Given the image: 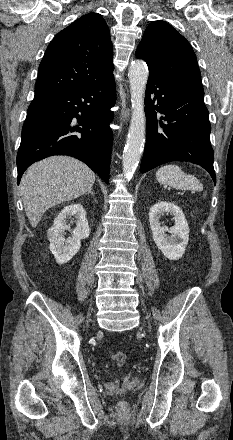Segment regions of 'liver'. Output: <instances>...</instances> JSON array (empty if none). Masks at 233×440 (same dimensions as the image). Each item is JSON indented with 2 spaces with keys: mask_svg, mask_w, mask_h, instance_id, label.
Segmentation results:
<instances>
[{
  "mask_svg": "<svg viewBox=\"0 0 233 440\" xmlns=\"http://www.w3.org/2000/svg\"><path fill=\"white\" fill-rule=\"evenodd\" d=\"M95 178L87 165L67 156H52L31 165L21 179L20 194L32 227L50 207L88 192Z\"/></svg>",
  "mask_w": 233,
  "mask_h": 440,
  "instance_id": "6515ba94",
  "label": "liver"
}]
</instances>
